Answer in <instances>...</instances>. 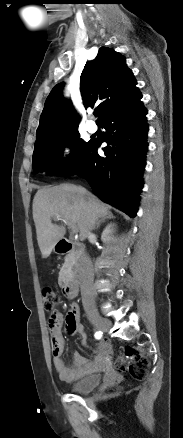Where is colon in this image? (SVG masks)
Returning a JSON list of instances; mask_svg holds the SVG:
<instances>
[{
  "instance_id": "5ec220e1",
  "label": "colon",
  "mask_w": 183,
  "mask_h": 438,
  "mask_svg": "<svg viewBox=\"0 0 183 438\" xmlns=\"http://www.w3.org/2000/svg\"><path fill=\"white\" fill-rule=\"evenodd\" d=\"M42 297L46 310H52L58 302L56 292L49 286L42 289ZM116 365L118 369L129 372L132 377L138 380L144 379L149 370L148 360L132 348H126L125 352L118 357Z\"/></svg>"
}]
</instances>
